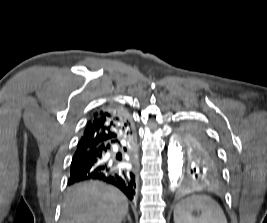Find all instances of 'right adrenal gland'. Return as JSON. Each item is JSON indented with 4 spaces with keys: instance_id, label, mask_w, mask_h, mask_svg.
I'll return each instance as SVG.
<instances>
[{
    "instance_id": "right-adrenal-gland-1",
    "label": "right adrenal gland",
    "mask_w": 267,
    "mask_h": 223,
    "mask_svg": "<svg viewBox=\"0 0 267 223\" xmlns=\"http://www.w3.org/2000/svg\"><path fill=\"white\" fill-rule=\"evenodd\" d=\"M126 218L130 223L132 222L129 213H127V217ZM126 218H124V221L126 220Z\"/></svg>"
}]
</instances>
